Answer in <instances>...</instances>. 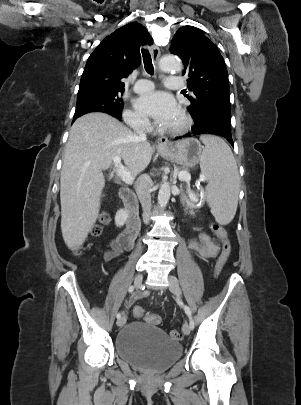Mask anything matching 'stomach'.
Wrapping results in <instances>:
<instances>
[{"label": "stomach", "mask_w": 301, "mask_h": 405, "mask_svg": "<svg viewBox=\"0 0 301 405\" xmlns=\"http://www.w3.org/2000/svg\"><path fill=\"white\" fill-rule=\"evenodd\" d=\"M202 145L194 138L184 139L169 144L166 148H159L158 152L166 158L185 167H194L198 164L202 155Z\"/></svg>", "instance_id": "1"}]
</instances>
